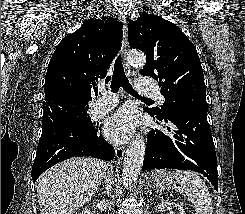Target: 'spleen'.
Wrapping results in <instances>:
<instances>
[{"label":"spleen","instance_id":"obj_1","mask_svg":"<svg viewBox=\"0 0 245 214\" xmlns=\"http://www.w3.org/2000/svg\"><path fill=\"white\" fill-rule=\"evenodd\" d=\"M180 187L176 191L186 193L195 207L196 214H212L213 207L210 193L204 181L195 173L186 170H175L172 172Z\"/></svg>","mask_w":245,"mask_h":214}]
</instances>
